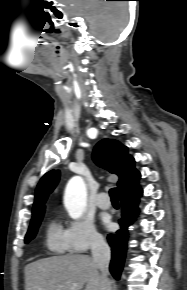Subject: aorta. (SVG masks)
Here are the masks:
<instances>
[{"label":"aorta","mask_w":187,"mask_h":290,"mask_svg":"<svg viewBox=\"0 0 187 290\" xmlns=\"http://www.w3.org/2000/svg\"><path fill=\"white\" fill-rule=\"evenodd\" d=\"M64 205L71 218L78 219L83 215L87 205V191L80 176L69 180L65 189Z\"/></svg>","instance_id":"1"}]
</instances>
